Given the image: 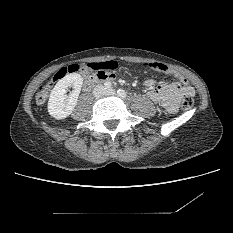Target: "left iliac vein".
I'll return each instance as SVG.
<instances>
[{"instance_id": "1", "label": "left iliac vein", "mask_w": 233, "mask_h": 233, "mask_svg": "<svg viewBox=\"0 0 233 233\" xmlns=\"http://www.w3.org/2000/svg\"><path fill=\"white\" fill-rule=\"evenodd\" d=\"M107 94H108V95H115V94H116V91H115L114 89H109V90L107 91Z\"/></svg>"}]
</instances>
